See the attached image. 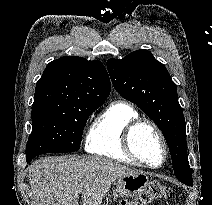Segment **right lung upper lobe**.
Returning <instances> with one entry per match:
<instances>
[{"label": "right lung upper lobe", "mask_w": 212, "mask_h": 205, "mask_svg": "<svg viewBox=\"0 0 212 205\" xmlns=\"http://www.w3.org/2000/svg\"><path fill=\"white\" fill-rule=\"evenodd\" d=\"M110 90L108 73L99 60L61 57L48 64L37 82L32 109L102 105Z\"/></svg>", "instance_id": "obj_1"}]
</instances>
